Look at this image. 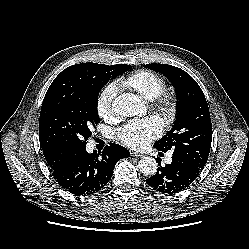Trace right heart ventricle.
<instances>
[{
  "mask_svg": "<svg viewBox=\"0 0 249 249\" xmlns=\"http://www.w3.org/2000/svg\"><path fill=\"white\" fill-rule=\"evenodd\" d=\"M120 85L137 92L147 100H152L165 89L164 78L150 70H137L120 81Z\"/></svg>",
  "mask_w": 249,
  "mask_h": 249,
  "instance_id": "1",
  "label": "right heart ventricle"
}]
</instances>
